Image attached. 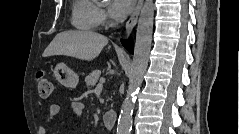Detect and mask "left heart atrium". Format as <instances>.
Here are the masks:
<instances>
[{"mask_svg":"<svg viewBox=\"0 0 239 134\" xmlns=\"http://www.w3.org/2000/svg\"><path fill=\"white\" fill-rule=\"evenodd\" d=\"M134 0H114L111 2L109 12L116 20L124 19L133 9Z\"/></svg>","mask_w":239,"mask_h":134,"instance_id":"1","label":"left heart atrium"}]
</instances>
